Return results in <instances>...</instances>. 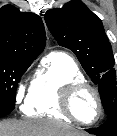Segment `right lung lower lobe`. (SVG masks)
<instances>
[{
  "instance_id": "obj_1",
  "label": "right lung lower lobe",
  "mask_w": 117,
  "mask_h": 136,
  "mask_svg": "<svg viewBox=\"0 0 117 136\" xmlns=\"http://www.w3.org/2000/svg\"><path fill=\"white\" fill-rule=\"evenodd\" d=\"M14 104L0 102V117L6 116L14 109Z\"/></svg>"
}]
</instances>
